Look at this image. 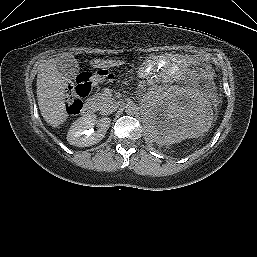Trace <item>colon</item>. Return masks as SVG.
Returning <instances> with one entry per match:
<instances>
[{
    "label": "colon",
    "mask_w": 257,
    "mask_h": 257,
    "mask_svg": "<svg viewBox=\"0 0 257 257\" xmlns=\"http://www.w3.org/2000/svg\"><path fill=\"white\" fill-rule=\"evenodd\" d=\"M197 61L207 62L209 57L204 53L195 54ZM112 73L107 70H101L94 74L89 72L81 73L77 78V85L71 92L67 103V108L71 113H77L81 107V99L88 96L93 88L100 82L110 80Z\"/></svg>",
    "instance_id": "colon-1"
}]
</instances>
